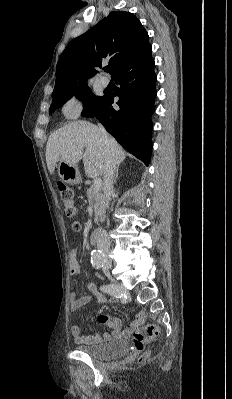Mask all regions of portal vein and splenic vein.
<instances>
[{
    "label": "portal vein and splenic vein",
    "mask_w": 232,
    "mask_h": 399,
    "mask_svg": "<svg viewBox=\"0 0 232 399\" xmlns=\"http://www.w3.org/2000/svg\"><path fill=\"white\" fill-rule=\"evenodd\" d=\"M101 186H102L101 178H95L93 188H95V190H100Z\"/></svg>",
    "instance_id": "1"
}]
</instances>
